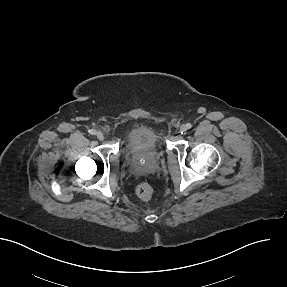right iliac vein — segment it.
Listing matches in <instances>:
<instances>
[{"label": "right iliac vein", "mask_w": 287, "mask_h": 287, "mask_svg": "<svg viewBox=\"0 0 287 287\" xmlns=\"http://www.w3.org/2000/svg\"><path fill=\"white\" fill-rule=\"evenodd\" d=\"M96 136H97V138L99 139V140H103L104 139V134L102 133V132H100V131H98L97 133H96Z\"/></svg>", "instance_id": "1"}]
</instances>
